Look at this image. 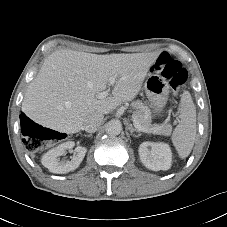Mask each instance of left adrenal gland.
I'll return each mask as SVG.
<instances>
[{"instance_id": "a2214340", "label": "left adrenal gland", "mask_w": 227, "mask_h": 227, "mask_svg": "<svg viewBox=\"0 0 227 227\" xmlns=\"http://www.w3.org/2000/svg\"><path fill=\"white\" fill-rule=\"evenodd\" d=\"M127 127L129 129L131 135H133V132H136V133H139L138 136H140V131L135 129L131 124H128Z\"/></svg>"}]
</instances>
